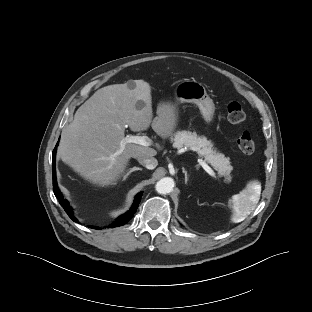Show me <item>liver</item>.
<instances>
[{"label":"liver","instance_id":"1","mask_svg":"<svg viewBox=\"0 0 312 312\" xmlns=\"http://www.w3.org/2000/svg\"><path fill=\"white\" fill-rule=\"evenodd\" d=\"M132 87V88H130ZM141 101V109L136 104ZM153 119L151 87L144 80L129 81L97 90L74 115L62 133L58 155L85 180L110 185L123 175L129 160L153 157L157 151L147 146L126 143L125 127L139 132L152 129L162 138L172 135L178 115L174 105L160 102Z\"/></svg>","mask_w":312,"mask_h":312}]
</instances>
